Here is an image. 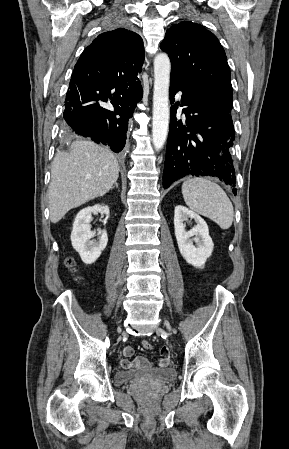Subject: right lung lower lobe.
I'll return each mask as SVG.
<instances>
[{
    "mask_svg": "<svg viewBox=\"0 0 289 449\" xmlns=\"http://www.w3.org/2000/svg\"><path fill=\"white\" fill-rule=\"evenodd\" d=\"M142 94L137 77L120 82H89L71 77L63 130L69 136L90 137L118 153L125 146L128 119ZM109 104L114 111L109 109Z\"/></svg>",
    "mask_w": 289,
    "mask_h": 449,
    "instance_id": "obj_1",
    "label": "right lung lower lobe"
}]
</instances>
